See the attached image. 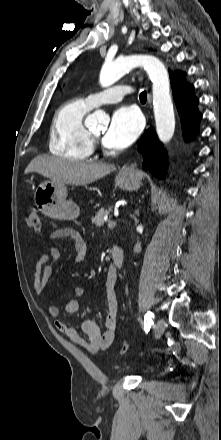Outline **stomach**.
Returning <instances> with one entry per match:
<instances>
[{
	"mask_svg": "<svg viewBox=\"0 0 221 440\" xmlns=\"http://www.w3.org/2000/svg\"><path fill=\"white\" fill-rule=\"evenodd\" d=\"M115 186L135 191L140 188V178L134 170L124 167L115 177ZM66 198V185L54 180L41 182L34 193L35 204L44 215L53 219L77 218L79 206Z\"/></svg>",
	"mask_w": 221,
	"mask_h": 440,
	"instance_id": "obj_1",
	"label": "stomach"
}]
</instances>
